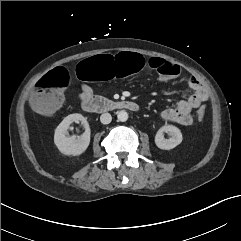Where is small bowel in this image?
<instances>
[{
  "instance_id": "obj_1",
  "label": "small bowel",
  "mask_w": 241,
  "mask_h": 241,
  "mask_svg": "<svg viewBox=\"0 0 241 241\" xmlns=\"http://www.w3.org/2000/svg\"><path fill=\"white\" fill-rule=\"evenodd\" d=\"M188 84L193 90V93L186 99L180 100L175 107L164 109L161 112V117L164 120L176 122L183 126H189L193 123L191 111L199 108L202 103L207 100L208 94L205 86L198 78L191 77L188 81ZM90 97H93L92 89L88 85L83 84L81 86L79 98L84 100Z\"/></svg>"
}]
</instances>
